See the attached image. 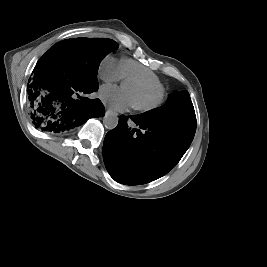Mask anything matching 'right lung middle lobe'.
I'll return each mask as SVG.
<instances>
[{
  "label": "right lung middle lobe",
  "instance_id": "obj_1",
  "mask_svg": "<svg viewBox=\"0 0 267 267\" xmlns=\"http://www.w3.org/2000/svg\"><path fill=\"white\" fill-rule=\"evenodd\" d=\"M117 47L115 41L107 38H72L56 43L42 60L57 64L78 83L94 86L98 85L100 62Z\"/></svg>",
  "mask_w": 267,
  "mask_h": 267
}]
</instances>
